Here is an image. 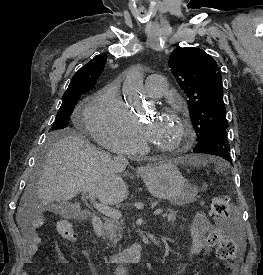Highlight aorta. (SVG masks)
Wrapping results in <instances>:
<instances>
[{
    "mask_svg": "<svg viewBox=\"0 0 263 275\" xmlns=\"http://www.w3.org/2000/svg\"><path fill=\"white\" fill-rule=\"evenodd\" d=\"M143 88V73L138 67H132L126 73L122 87L126 102L139 101L142 98Z\"/></svg>",
    "mask_w": 263,
    "mask_h": 275,
    "instance_id": "762f6f07",
    "label": "aorta"
}]
</instances>
